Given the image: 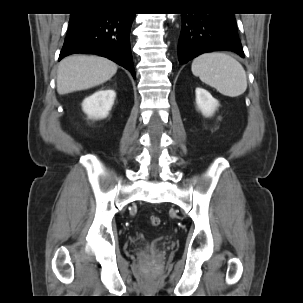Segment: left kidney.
Wrapping results in <instances>:
<instances>
[{"mask_svg": "<svg viewBox=\"0 0 303 303\" xmlns=\"http://www.w3.org/2000/svg\"><path fill=\"white\" fill-rule=\"evenodd\" d=\"M196 104L198 109L202 112V114L206 117L212 116L214 111L219 106L218 101L212 97V95L203 88H196Z\"/></svg>", "mask_w": 303, "mask_h": 303, "instance_id": "1", "label": "left kidney"}]
</instances>
